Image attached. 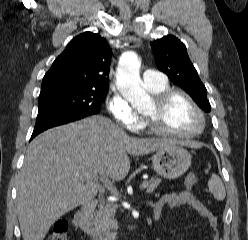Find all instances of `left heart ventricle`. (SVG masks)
I'll list each match as a JSON object with an SVG mask.
<instances>
[{"instance_id":"obj_1","label":"left heart ventricle","mask_w":248,"mask_h":240,"mask_svg":"<svg viewBox=\"0 0 248 240\" xmlns=\"http://www.w3.org/2000/svg\"><path fill=\"white\" fill-rule=\"evenodd\" d=\"M145 114L153 116L161 128L175 132H192L201 125L198 114L182 96L173 97L163 110H157L152 102Z\"/></svg>"}]
</instances>
